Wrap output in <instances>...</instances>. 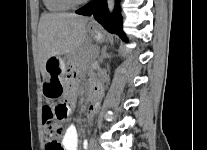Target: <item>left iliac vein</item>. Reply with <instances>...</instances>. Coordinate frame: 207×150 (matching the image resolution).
<instances>
[{
  "instance_id": "4c4485c4",
  "label": "left iliac vein",
  "mask_w": 207,
  "mask_h": 150,
  "mask_svg": "<svg viewBox=\"0 0 207 150\" xmlns=\"http://www.w3.org/2000/svg\"><path fill=\"white\" fill-rule=\"evenodd\" d=\"M89 150H101V149L93 141V142L90 143Z\"/></svg>"
}]
</instances>
